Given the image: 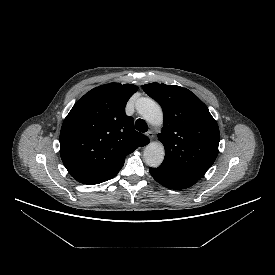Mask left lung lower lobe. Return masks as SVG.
Here are the masks:
<instances>
[{
	"mask_svg": "<svg viewBox=\"0 0 275 275\" xmlns=\"http://www.w3.org/2000/svg\"><path fill=\"white\" fill-rule=\"evenodd\" d=\"M152 177L161 185L169 189H185L194 185L197 179L172 170L170 168L159 166L158 168H149Z\"/></svg>",
	"mask_w": 275,
	"mask_h": 275,
	"instance_id": "obj_1",
	"label": "left lung lower lobe"
}]
</instances>
